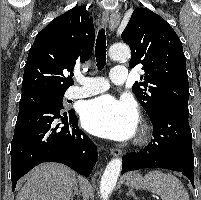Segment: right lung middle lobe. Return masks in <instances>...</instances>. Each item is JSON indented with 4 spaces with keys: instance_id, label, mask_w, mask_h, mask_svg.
I'll list each match as a JSON object with an SVG mask.
<instances>
[{
    "instance_id": "right-lung-middle-lobe-1",
    "label": "right lung middle lobe",
    "mask_w": 201,
    "mask_h": 200,
    "mask_svg": "<svg viewBox=\"0 0 201 200\" xmlns=\"http://www.w3.org/2000/svg\"><path fill=\"white\" fill-rule=\"evenodd\" d=\"M64 93H36L21 96L19 110L30 108L33 106H53L63 109Z\"/></svg>"
}]
</instances>
